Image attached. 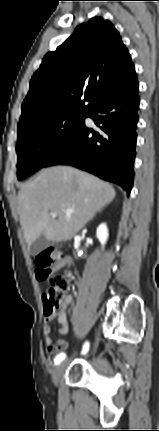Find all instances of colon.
<instances>
[{
    "label": "colon",
    "mask_w": 159,
    "mask_h": 431,
    "mask_svg": "<svg viewBox=\"0 0 159 431\" xmlns=\"http://www.w3.org/2000/svg\"><path fill=\"white\" fill-rule=\"evenodd\" d=\"M61 259V253L53 247L46 248L38 252L35 256L37 278H49V286L43 294L44 310L49 316L54 315L61 307L65 293L70 284L71 275L69 272L51 276Z\"/></svg>",
    "instance_id": "1"
}]
</instances>
